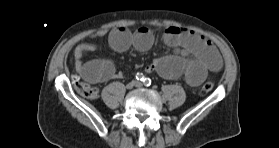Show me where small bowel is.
<instances>
[{"mask_svg": "<svg viewBox=\"0 0 279 148\" xmlns=\"http://www.w3.org/2000/svg\"><path fill=\"white\" fill-rule=\"evenodd\" d=\"M105 35L104 32H98L92 37L99 38ZM163 39L172 51L158 56L148 64L145 68L147 73L158 72L166 79L183 76L187 84L198 86L205 80L208 72H217L222 68V59L216 47L194 31L170 26L165 29ZM108 41L118 52L126 51L130 47L143 52L152 46L154 37L146 27H139L133 32L118 27L108 34ZM94 49L95 46L89 43L79 44L75 48V65L81 77L94 84L120 77L110 60L83 61V57Z\"/></svg>", "mask_w": 279, "mask_h": 148, "instance_id": "c3829d8e", "label": "small bowel"}]
</instances>
